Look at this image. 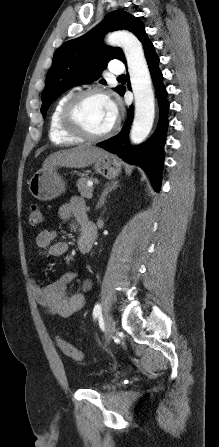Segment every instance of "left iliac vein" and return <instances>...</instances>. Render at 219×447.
<instances>
[{"label": "left iliac vein", "mask_w": 219, "mask_h": 447, "mask_svg": "<svg viewBox=\"0 0 219 447\" xmlns=\"http://www.w3.org/2000/svg\"><path fill=\"white\" fill-rule=\"evenodd\" d=\"M104 326H105V339L106 342L109 343L112 335L115 332V322L113 320V317L109 313H105L104 316Z\"/></svg>", "instance_id": "left-iliac-vein-1"}]
</instances>
